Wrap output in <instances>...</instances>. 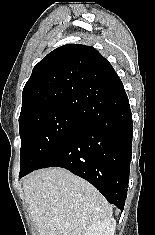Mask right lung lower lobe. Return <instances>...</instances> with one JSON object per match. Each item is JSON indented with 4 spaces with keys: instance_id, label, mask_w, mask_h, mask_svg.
<instances>
[{
    "instance_id": "1",
    "label": "right lung lower lobe",
    "mask_w": 155,
    "mask_h": 235,
    "mask_svg": "<svg viewBox=\"0 0 155 235\" xmlns=\"http://www.w3.org/2000/svg\"><path fill=\"white\" fill-rule=\"evenodd\" d=\"M86 94V109L79 114L85 123L35 169L65 168L123 210L133 137L129 101L120 79L93 87Z\"/></svg>"
}]
</instances>
